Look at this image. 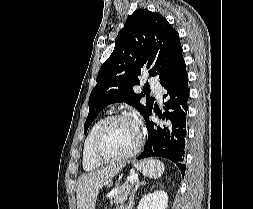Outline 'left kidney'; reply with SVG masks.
<instances>
[{
  "label": "left kidney",
  "instance_id": "5707ae66",
  "mask_svg": "<svg viewBox=\"0 0 253 209\" xmlns=\"http://www.w3.org/2000/svg\"><path fill=\"white\" fill-rule=\"evenodd\" d=\"M168 207V195L160 190L145 195L138 204L137 209H166Z\"/></svg>",
  "mask_w": 253,
  "mask_h": 209
}]
</instances>
